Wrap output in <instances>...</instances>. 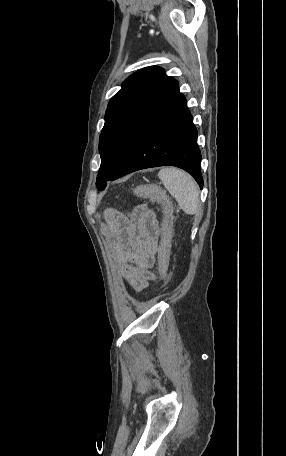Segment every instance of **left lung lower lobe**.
<instances>
[{
  "mask_svg": "<svg viewBox=\"0 0 286 456\" xmlns=\"http://www.w3.org/2000/svg\"><path fill=\"white\" fill-rule=\"evenodd\" d=\"M197 129L183 94H178L136 137L111 180L151 167L171 165L203 187Z\"/></svg>",
  "mask_w": 286,
  "mask_h": 456,
  "instance_id": "0a47b994",
  "label": "left lung lower lobe"
}]
</instances>
